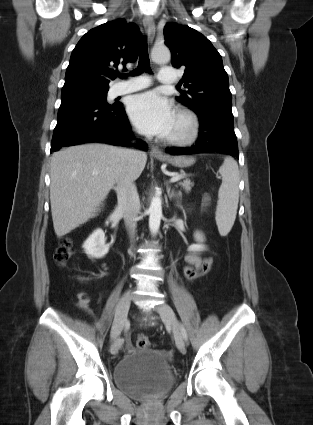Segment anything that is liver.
<instances>
[{
	"label": "liver",
	"instance_id": "liver-1",
	"mask_svg": "<svg viewBox=\"0 0 313 425\" xmlns=\"http://www.w3.org/2000/svg\"><path fill=\"white\" fill-rule=\"evenodd\" d=\"M122 150L95 143L68 147L52 155L50 202L57 237L94 217L121 176L127 173L136 180L141 175L147 154L139 151L136 159L127 160Z\"/></svg>",
	"mask_w": 313,
	"mask_h": 425
}]
</instances>
